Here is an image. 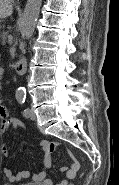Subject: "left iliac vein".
Wrapping results in <instances>:
<instances>
[{"label":"left iliac vein","mask_w":119,"mask_h":185,"mask_svg":"<svg viewBox=\"0 0 119 185\" xmlns=\"http://www.w3.org/2000/svg\"><path fill=\"white\" fill-rule=\"evenodd\" d=\"M28 117L30 119H32V120H35L36 119V115H35L33 109H29V115H28Z\"/></svg>","instance_id":"1"}]
</instances>
